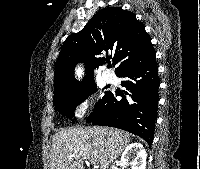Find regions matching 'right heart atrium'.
Masks as SVG:
<instances>
[{"mask_svg":"<svg viewBox=\"0 0 200 169\" xmlns=\"http://www.w3.org/2000/svg\"><path fill=\"white\" fill-rule=\"evenodd\" d=\"M94 101L91 96H81L74 105L73 114L76 118L81 119L93 109Z\"/></svg>","mask_w":200,"mask_h":169,"instance_id":"d8ad5b80","label":"right heart atrium"}]
</instances>
